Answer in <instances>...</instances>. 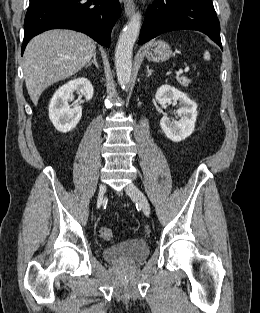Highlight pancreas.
I'll use <instances>...</instances> for the list:
<instances>
[{
    "mask_svg": "<svg viewBox=\"0 0 260 313\" xmlns=\"http://www.w3.org/2000/svg\"><path fill=\"white\" fill-rule=\"evenodd\" d=\"M178 82L183 86V87H187L190 83V79L186 78V77H180L178 79Z\"/></svg>",
    "mask_w": 260,
    "mask_h": 313,
    "instance_id": "1",
    "label": "pancreas"
}]
</instances>
